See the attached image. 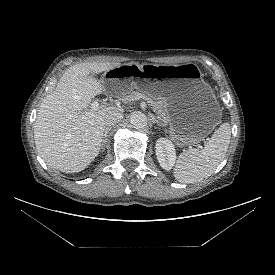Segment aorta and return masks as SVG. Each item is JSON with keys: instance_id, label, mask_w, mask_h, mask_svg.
I'll use <instances>...</instances> for the list:
<instances>
[{"instance_id": "1", "label": "aorta", "mask_w": 275, "mask_h": 275, "mask_svg": "<svg viewBox=\"0 0 275 275\" xmlns=\"http://www.w3.org/2000/svg\"><path fill=\"white\" fill-rule=\"evenodd\" d=\"M130 123L134 128L143 129L147 126V117L142 112H133L130 116Z\"/></svg>"}]
</instances>
